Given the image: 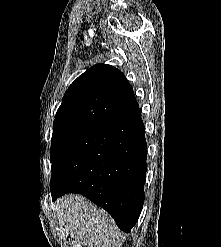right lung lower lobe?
<instances>
[{"label": "right lung lower lobe", "mask_w": 221, "mask_h": 247, "mask_svg": "<svg viewBox=\"0 0 221 247\" xmlns=\"http://www.w3.org/2000/svg\"><path fill=\"white\" fill-rule=\"evenodd\" d=\"M146 159L145 127L137 107L86 129L63 150L52 167V199L80 193L130 232L144 203Z\"/></svg>", "instance_id": "1"}]
</instances>
